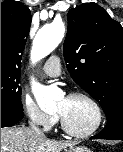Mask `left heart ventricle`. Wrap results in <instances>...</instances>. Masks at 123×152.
I'll return each instance as SVG.
<instances>
[{
    "mask_svg": "<svg viewBox=\"0 0 123 152\" xmlns=\"http://www.w3.org/2000/svg\"><path fill=\"white\" fill-rule=\"evenodd\" d=\"M57 112L61 114L68 126L76 131L90 129L96 120L93 106L82 98H63L58 102Z\"/></svg>",
    "mask_w": 123,
    "mask_h": 152,
    "instance_id": "obj_1",
    "label": "left heart ventricle"
}]
</instances>
